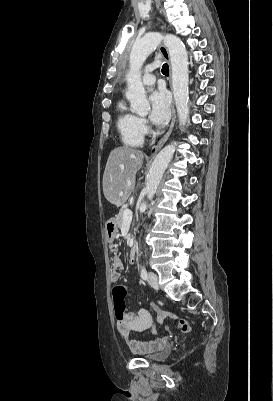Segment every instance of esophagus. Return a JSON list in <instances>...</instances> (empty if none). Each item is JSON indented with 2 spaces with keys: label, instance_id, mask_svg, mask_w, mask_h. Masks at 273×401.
I'll use <instances>...</instances> for the list:
<instances>
[{
  "label": "esophagus",
  "instance_id": "obj_1",
  "mask_svg": "<svg viewBox=\"0 0 273 401\" xmlns=\"http://www.w3.org/2000/svg\"><path fill=\"white\" fill-rule=\"evenodd\" d=\"M160 28H161L162 31L165 30V25L161 24ZM159 52L165 58V60L169 63L170 62L169 52H168L167 48L163 44H161L159 46ZM169 83L171 84V67H170ZM175 118H176V112H175V106H174V103H173V106H172V119H171V124H170L169 130L167 131V133H165V135L157 143L156 150H159V148H161L164 145V143L168 140V138L170 137V135H171V133L173 131L174 124H175Z\"/></svg>",
  "mask_w": 273,
  "mask_h": 401
}]
</instances>
